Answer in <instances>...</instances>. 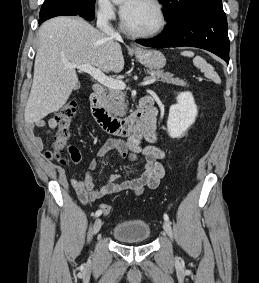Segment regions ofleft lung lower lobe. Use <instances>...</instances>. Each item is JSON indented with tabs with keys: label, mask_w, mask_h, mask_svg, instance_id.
I'll return each instance as SVG.
<instances>
[{
	"label": "left lung lower lobe",
	"mask_w": 259,
	"mask_h": 283,
	"mask_svg": "<svg viewBox=\"0 0 259 283\" xmlns=\"http://www.w3.org/2000/svg\"><path fill=\"white\" fill-rule=\"evenodd\" d=\"M136 42L147 47H197L229 63L230 41L222 2L198 9L180 22L168 26L156 39Z\"/></svg>",
	"instance_id": "obj_1"
}]
</instances>
